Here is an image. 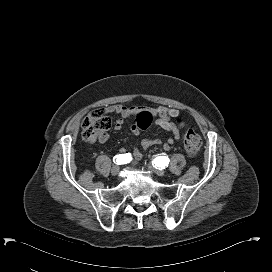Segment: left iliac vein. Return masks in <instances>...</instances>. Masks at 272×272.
I'll list each match as a JSON object with an SVG mask.
<instances>
[{"label": "left iliac vein", "mask_w": 272, "mask_h": 272, "mask_svg": "<svg viewBox=\"0 0 272 272\" xmlns=\"http://www.w3.org/2000/svg\"><path fill=\"white\" fill-rule=\"evenodd\" d=\"M148 169L154 170L158 176H164V174H165L164 169H162V168H155L152 165H148Z\"/></svg>", "instance_id": "4c4485c4"}]
</instances>
